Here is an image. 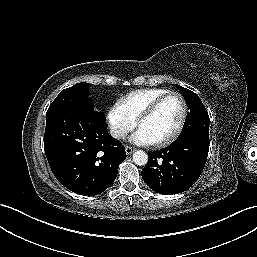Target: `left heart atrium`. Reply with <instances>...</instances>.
I'll return each mask as SVG.
<instances>
[{
	"mask_svg": "<svg viewBox=\"0 0 257 257\" xmlns=\"http://www.w3.org/2000/svg\"><path fill=\"white\" fill-rule=\"evenodd\" d=\"M130 140L138 145H151L154 143L152 139L140 128L131 136Z\"/></svg>",
	"mask_w": 257,
	"mask_h": 257,
	"instance_id": "39dd6f15",
	"label": "left heart atrium"
}]
</instances>
